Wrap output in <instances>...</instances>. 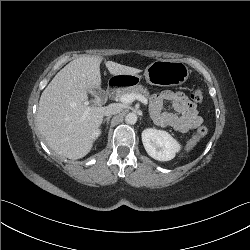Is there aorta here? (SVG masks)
Wrapping results in <instances>:
<instances>
[{
  "label": "aorta",
  "instance_id": "aorta-1",
  "mask_svg": "<svg viewBox=\"0 0 250 250\" xmlns=\"http://www.w3.org/2000/svg\"><path fill=\"white\" fill-rule=\"evenodd\" d=\"M125 121L128 124H135L137 122V115L135 113H128L125 117Z\"/></svg>",
  "mask_w": 250,
  "mask_h": 250
}]
</instances>
